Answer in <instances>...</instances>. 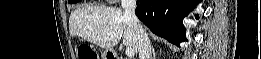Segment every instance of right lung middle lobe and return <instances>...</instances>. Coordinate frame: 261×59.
Returning <instances> with one entry per match:
<instances>
[{
  "instance_id": "obj_1",
  "label": "right lung middle lobe",
  "mask_w": 261,
  "mask_h": 59,
  "mask_svg": "<svg viewBox=\"0 0 261 59\" xmlns=\"http://www.w3.org/2000/svg\"><path fill=\"white\" fill-rule=\"evenodd\" d=\"M77 2H79V0H71V1H69V3H71V4H74V3H77Z\"/></svg>"
}]
</instances>
